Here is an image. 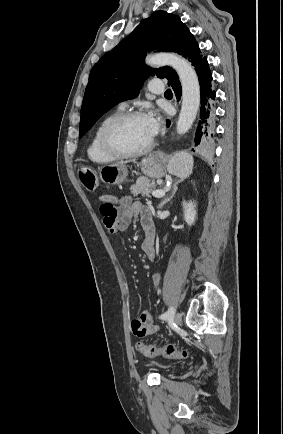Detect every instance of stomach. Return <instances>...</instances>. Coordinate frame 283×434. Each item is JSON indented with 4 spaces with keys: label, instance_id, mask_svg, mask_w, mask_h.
I'll return each instance as SVG.
<instances>
[{
    "label": "stomach",
    "instance_id": "0dacf381",
    "mask_svg": "<svg viewBox=\"0 0 283 434\" xmlns=\"http://www.w3.org/2000/svg\"><path fill=\"white\" fill-rule=\"evenodd\" d=\"M144 175L158 179L166 174V167L162 159L155 154L145 157L140 163ZM128 170L125 164H109L101 167L99 177L102 182L109 185H119L125 182Z\"/></svg>",
    "mask_w": 283,
    "mask_h": 434
}]
</instances>
